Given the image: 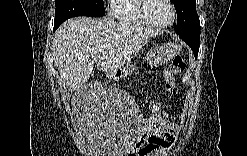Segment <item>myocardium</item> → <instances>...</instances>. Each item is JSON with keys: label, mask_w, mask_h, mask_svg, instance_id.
<instances>
[{"label": "myocardium", "mask_w": 247, "mask_h": 156, "mask_svg": "<svg viewBox=\"0 0 247 156\" xmlns=\"http://www.w3.org/2000/svg\"><path fill=\"white\" fill-rule=\"evenodd\" d=\"M164 1L169 5V7L171 9V19L166 23H156V22L152 21L147 16V13H146L147 3L149 1H147V0L139 1V4H138L139 13L148 26L153 27V28L164 29V28H168V27L172 26L173 23L175 22V19H176L175 6L173 5V3L170 0H164Z\"/></svg>", "instance_id": "1"}]
</instances>
